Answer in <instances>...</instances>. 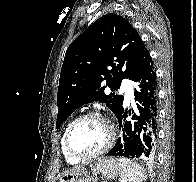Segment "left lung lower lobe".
Returning <instances> with one entry per match:
<instances>
[{"label": "left lung lower lobe", "mask_w": 196, "mask_h": 182, "mask_svg": "<svg viewBox=\"0 0 196 182\" xmlns=\"http://www.w3.org/2000/svg\"><path fill=\"white\" fill-rule=\"evenodd\" d=\"M134 82H136L134 96L137 101L136 113L132 111L134 122L126 120L127 110L124 111L122 107L117 119L123 136L117 140L107 155L153 159L157 140L158 87L152 59L135 77Z\"/></svg>", "instance_id": "0a47b994"}]
</instances>
